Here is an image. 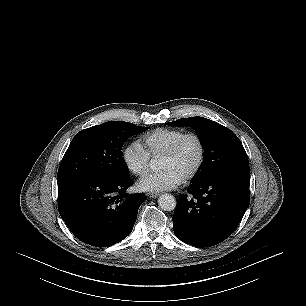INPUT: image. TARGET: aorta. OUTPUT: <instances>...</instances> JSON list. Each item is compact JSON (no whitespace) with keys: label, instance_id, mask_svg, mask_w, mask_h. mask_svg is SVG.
Segmentation results:
<instances>
[{"label":"aorta","instance_id":"762f6f07","mask_svg":"<svg viewBox=\"0 0 306 306\" xmlns=\"http://www.w3.org/2000/svg\"><path fill=\"white\" fill-rule=\"evenodd\" d=\"M158 205L164 211H172L176 207V199L171 194H162L158 199Z\"/></svg>","mask_w":306,"mask_h":306}]
</instances>
